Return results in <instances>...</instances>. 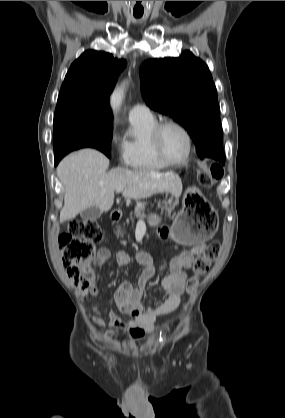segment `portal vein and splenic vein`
Wrapping results in <instances>:
<instances>
[{
    "label": "portal vein and splenic vein",
    "mask_w": 285,
    "mask_h": 418,
    "mask_svg": "<svg viewBox=\"0 0 285 418\" xmlns=\"http://www.w3.org/2000/svg\"><path fill=\"white\" fill-rule=\"evenodd\" d=\"M123 190H124V188H123V187H118V188H116V192H117V193L122 192ZM140 221H142V220H140Z\"/></svg>",
    "instance_id": "portal-vein-and-splenic-vein-1"
}]
</instances>
